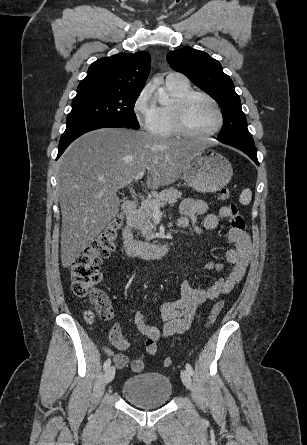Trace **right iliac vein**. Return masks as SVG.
Wrapping results in <instances>:
<instances>
[{
  "instance_id": "right-iliac-vein-1",
  "label": "right iliac vein",
  "mask_w": 307,
  "mask_h": 445,
  "mask_svg": "<svg viewBox=\"0 0 307 445\" xmlns=\"http://www.w3.org/2000/svg\"><path fill=\"white\" fill-rule=\"evenodd\" d=\"M114 376H115V367L111 366L105 372L104 375L105 384H109L113 380Z\"/></svg>"
}]
</instances>
